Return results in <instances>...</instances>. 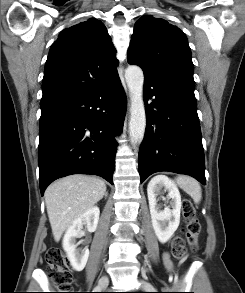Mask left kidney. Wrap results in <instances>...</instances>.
<instances>
[{
  "mask_svg": "<svg viewBox=\"0 0 245 293\" xmlns=\"http://www.w3.org/2000/svg\"><path fill=\"white\" fill-rule=\"evenodd\" d=\"M162 188L168 191L167 198L171 199L169 207L161 210L157 204V196ZM149 208L153 229L161 243L167 242L177 230L180 223V210L182 206L181 196L176 185L166 176L158 175L153 177L147 186Z\"/></svg>",
  "mask_w": 245,
  "mask_h": 293,
  "instance_id": "5707ae66",
  "label": "left kidney"
}]
</instances>
